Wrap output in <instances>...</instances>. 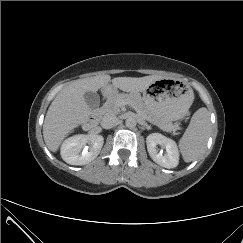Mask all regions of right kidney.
<instances>
[{"instance_id": "obj_1", "label": "right kidney", "mask_w": 243, "mask_h": 243, "mask_svg": "<svg viewBox=\"0 0 243 243\" xmlns=\"http://www.w3.org/2000/svg\"><path fill=\"white\" fill-rule=\"evenodd\" d=\"M104 138L95 134H78L67 138L61 145V157L70 165H86L101 151ZM89 144L90 147L86 146Z\"/></svg>"}]
</instances>
